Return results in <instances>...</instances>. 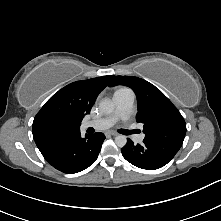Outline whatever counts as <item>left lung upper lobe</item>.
Segmentation results:
<instances>
[{
    "label": "left lung upper lobe",
    "mask_w": 221,
    "mask_h": 221,
    "mask_svg": "<svg viewBox=\"0 0 221 221\" xmlns=\"http://www.w3.org/2000/svg\"><path fill=\"white\" fill-rule=\"evenodd\" d=\"M112 86L126 85L137 96V122L143 124L145 140L182 145L186 123L179 110L154 85L134 76H117Z\"/></svg>",
    "instance_id": "1"
}]
</instances>
